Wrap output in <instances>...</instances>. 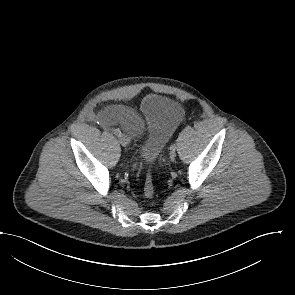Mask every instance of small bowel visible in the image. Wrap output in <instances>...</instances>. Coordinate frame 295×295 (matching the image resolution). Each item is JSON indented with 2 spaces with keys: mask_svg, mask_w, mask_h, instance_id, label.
Segmentation results:
<instances>
[{
  "mask_svg": "<svg viewBox=\"0 0 295 295\" xmlns=\"http://www.w3.org/2000/svg\"><path fill=\"white\" fill-rule=\"evenodd\" d=\"M94 117L105 127L120 124L130 135H139L144 129L143 118L134 110L123 106H110L94 114Z\"/></svg>",
  "mask_w": 295,
  "mask_h": 295,
  "instance_id": "small-bowel-1",
  "label": "small bowel"
}]
</instances>
